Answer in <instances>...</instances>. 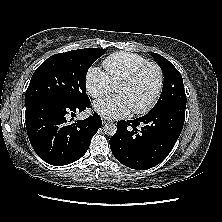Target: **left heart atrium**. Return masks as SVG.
Segmentation results:
<instances>
[{
	"label": "left heart atrium",
	"instance_id": "obj_1",
	"mask_svg": "<svg viewBox=\"0 0 222 222\" xmlns=\"http://www.w3.org/2000/svg\"><path fill=\"white\" fill-rule=\"evenodd\" d=\"M94 110L107 119H117L126 116L132 110L128 100L122 94L110 95L97 100Z\"/></svg>",
	"mask_w": 222,
	"mask_h": 222
}]
</instances>
